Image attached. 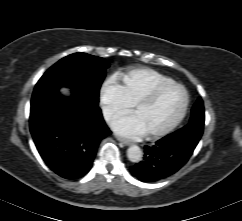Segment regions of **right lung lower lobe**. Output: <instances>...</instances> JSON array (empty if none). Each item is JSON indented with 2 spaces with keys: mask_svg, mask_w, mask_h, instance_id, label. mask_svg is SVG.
Here are the masks:
<instances>
[{
  "mask_svg": "<svg viewBox=\"0 0 242 221\" xmlns=\"http://www.w3.org/2000/svg\"><path fill=\"white\" fill-rule=\"evenodd\" d=\"M29 121L41 157L66 179L89 172L100 141L111 133L98 105L74 92L71 97L57 93L31 102Z\"/></svg>",
  "mask_w": 242,
  "mask_h": 221,
  "instance_id": "98d812e1",
  "label": "right lung lower lobe"
}]
</instances>
